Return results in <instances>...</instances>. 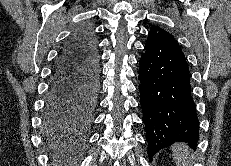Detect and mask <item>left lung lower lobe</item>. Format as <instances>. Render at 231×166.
<instances>
[{
	"label": "left lung lower lobe",
	"instance_id": "left-lung-lower-lobe-1",
	"mask_svg": "<svg viewBox=\"0 0 231 166\" xmlns=\"http://www.w3.org/2000/svg\"><path fill=\"white\" fill-rule=\"evenodd\" d=\"M144 50L139 90L149 155L177 141L196 146L199 122L184 53L170 33L156 26L150 29Z\"/></svg>",
	"mask_w": 231,
	"mask_h": 166
}]
</instances>
